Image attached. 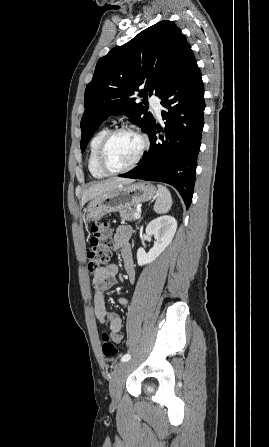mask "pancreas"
I'll return each mask as SVG.
<instances>
[{"instance_id": "obj_1", "label": "pancreas", "mask_w": 269, "mask_h": 447, "mask_svg": "<svg viewBox=\"0 0 269 447\" xmlns=\"http://www.w3.org/2000/svg\"><path fill=\"white\" fill-rule=\"evenodd\" d=\"M135 210L133 208H129V210H121L120 216L122 220H129V222H132V220H135L134 218Z\"/></svg>"}]
</instances>
